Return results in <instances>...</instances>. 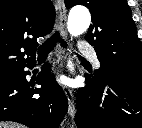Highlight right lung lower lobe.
<instances>
[{
    "label": "right lung lower lobe",
    "mask_w": 142,
    "mask_h": 128,
    "mask_svg": "<svg viewBox=\"0 0 142 128\" xmlns=\"http://www.w3.org/2000/svg\"><path fill=\"white\" fill-rule=\"evenodd\" d=\"M49 67L46 64L38 74L36 84L41 88L28 83L24 68L0 85V121H14L30 128L59 127L68 111V102L64 91L50 75Z\"/></svg>",
    "instance_id": "obj_1"
}]
</instances>
